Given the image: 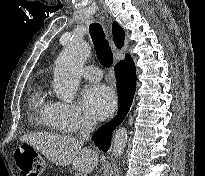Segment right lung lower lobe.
<instances>
[{"mask_svg": "<svg viewBox=\"0 0 205 176\" xmlns=\"http://www.w3.org/2000/svg\"><path fill=\"white\" fill-rule=\"evenodd\" d=\"M115 70L118 78L119 111L112 121L93 134L94 143L105 152L110 147L113 130L123 121L131 107L136 89V68L131 57L117 64Z\"/></svg>", "mask_w": 205, "mask_h": 176, "instance_id": "98d812e1", "label": "right lung lower lobe"}]
</instances>
